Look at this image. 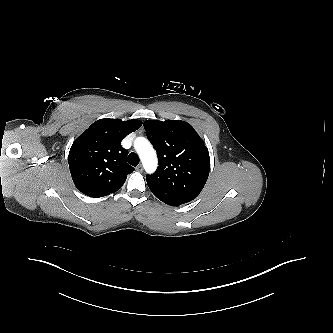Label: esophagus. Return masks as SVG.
Wrapping results in <instances>:
<instances>
[{"mask_svg":"<svg viewBox=\"0 0 333 333\" xmlns=\"http://www.w3.org/2000/svg\"><path fill=\"white\" fill-rule=\"evenodd\" d=\"M136 171L138 172H142L143 171V167L142 165H138L136 168H135Z\"/></svg>","mask_w":333,"mask_h":333,"instance_id":"1","label":"esophagus"}]
</instances>
